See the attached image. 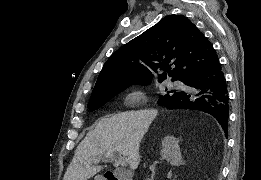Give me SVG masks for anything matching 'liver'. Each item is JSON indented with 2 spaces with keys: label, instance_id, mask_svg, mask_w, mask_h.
I'll return each instance as SVG.
<instances>
[{
  "label": "liver",
  "instance_id": "6515ba94",
  "mask_svg": "<svg viewBox=\"0 0 261 180\" xmlns=\"http://www.w3.org/2000/svg\"><path fill=\"white\" fill-rule=\"evenodd\" d=\"M156 114L157 110H138L104 116L80 142L68 168V180H89L102 168L93 164L103 156L111 158L114 152L127 156L131 170H137L140 142Z\"/></svg>",
  "mask_w": 261,
  "mask_h": 180
}]
</instances>
